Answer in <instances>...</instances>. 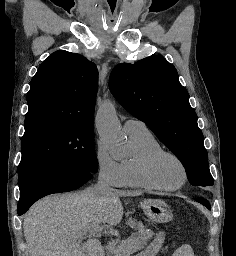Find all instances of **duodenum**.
Wrapping results in <instances>:
<instances>
[{"label":"duodenum","mask_w":236,"mask_h":256,"mask_svg":"<svg viewBox=\"0 0 236 256\" xmlns=\"http://www.w3.org/2000/svg\"><path fill=\"white\" fill-rule=\"evenodd\" d=\"M98 256H112V252L108 246L104 245L102 248H100Z\"/></svg>","instance_id":"duodenum-1"}]
</instances>
